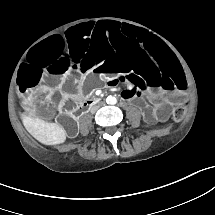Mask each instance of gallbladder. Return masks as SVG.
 Returning a JSON list of instances; mask_svg holds the SVG:
<instances>
[{"label":"gallbladder","mask_w":215,"mask_h":215,"mask_svg":"<svg viewBox=\"0 0 215 215\" xmlns=\"http://www.w3.org/2000/svg\"><path fill=\"white\" fill-rule=\"evenodd\" d=\"M37 112H38L39 116H41L42 118H44L46 120L53 118V116L55 114L53 107H51V105H49L47 103H43V104L39 105Z\"/></svg>","instance_id":"bac80fb5"}]
</instances>
